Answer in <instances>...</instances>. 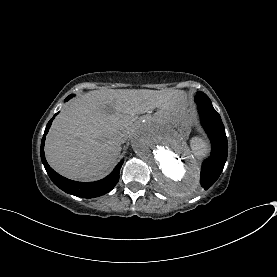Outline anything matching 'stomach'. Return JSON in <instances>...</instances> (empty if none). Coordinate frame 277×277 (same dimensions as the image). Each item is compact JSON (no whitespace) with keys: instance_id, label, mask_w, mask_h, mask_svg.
<instances>
[{"instance_id":"0dacf381","label":"stomach","mask_w":277,"mask_h":277,"mask_svg":"<svg viewBox=\"0 0 277 277\" xmlns=\"http://www.w3.org/2000/svg\"><path fill=\"white\" fill-rule=\"evenodd\" d=\"M157 118L172 123L183 132L189 131L194 123V113L185 95L172 108L160 109Z\"/></svg>"}]
</instances>
